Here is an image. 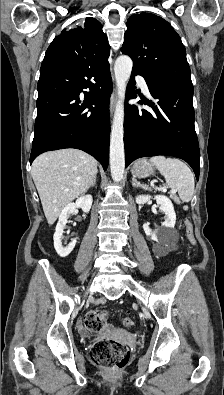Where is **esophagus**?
<instances>
[{
	"label": "esophagus",
	"instance_id": "esophagus-1",
	"mask_svg": "<svg viewBox=\"0 0 224 395\" xmlns=\"http://www.w3.org/2000/svg\"><path fill=\"white\" fill-rule=\"evenodd\" d=\"M115 103H116V97H115V95H113L110 100V114H111V116L113 115L114 110H115Z\"/></svg>",
	"mask_w": 224,
	"mask_h": 395
}]
</instances>
